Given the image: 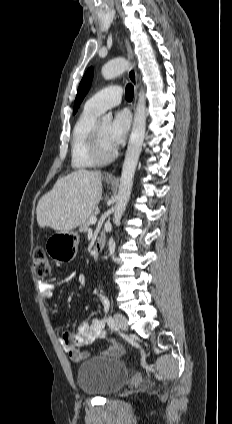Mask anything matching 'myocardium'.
Wrapping results in <instances>:
<instances>
[{
  "label": "myocardium",
  "instance_id": "f54148a6",
  "mask_svg": "<svg viewBox=\"0 0 232 424\" xmlns=\"http://www.w3.org/2000/svg\"><path fill=\"white\" fill-rule=\"evenodd\" d=\"M89 153L91 158L98 164L109 163L113 161L118 154L117 148H115L110 154H105L103 152L101 145L100 128L99 123L97 122L94 125L91 133Z\"/></svg>",
  "mask_w": 232,
  "mask_h": 424
}]
</instances>
